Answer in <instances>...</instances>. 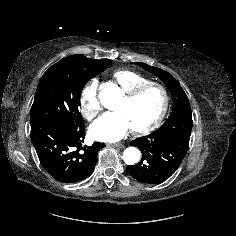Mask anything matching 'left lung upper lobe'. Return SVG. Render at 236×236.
Here are the masks:
<instances>
[{"label": "left lung upper lobe", "instance_id": "obj_1", "mask_svg": "<svg viewBox=\"0 0 236 236\" xmlns=\"http://www.w3.org/2000/svg\"><path fill=\"white\" fill-rule=\"evenodd\" d=\"M136 64L158 76L166 84L173 100L172 113L178 111L179 109H190L189 100L184 90L171 74L160 68L149 66L144 63L136 62Z\"/></svg>", "mask_w": 236, "mask_h": 236}]
</instances>
